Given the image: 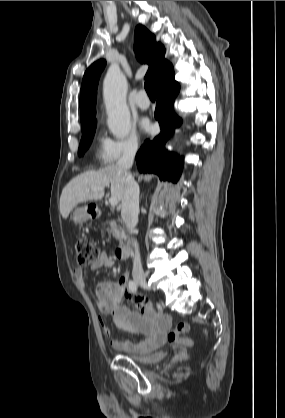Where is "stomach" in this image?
Wrapping results in <instances>:
<instances>
[{"mask_svg": "<svg viewBox=\"0 0 285 418\" xmlns=\"http://www.w3.org/2000/svg\"><path fill=\"white\" fill-rule=\"evenodd\" d=\"M91 217L87 207L77 208L72 216V219L77 224L86 222Z\"/></svg>", "mask_w": 285, "mask_h": 418, "instance_id": "stomach-1", "label": "stomach"}]
</instances>
